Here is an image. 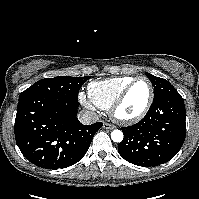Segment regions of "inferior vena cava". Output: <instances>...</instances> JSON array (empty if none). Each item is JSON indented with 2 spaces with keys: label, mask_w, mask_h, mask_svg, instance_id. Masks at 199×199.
Here are the masks:
<instances>
[{
  "label": "inferior vena cava",
  "mask_w": 199,
  "mask_h": 199,
  "mask_svg": "<svg viewBox=\"0 0 199 199\" xmlns=\"http://www.w3.org/2000/svg\"><path fill=\"white\" fill-rule=\"evenodd\" d=\"M99 120L98 115L92 111H81L79 113V121L84 125H90Z\"/></svg>",
  "instance_id": "602c4592"
}]
</instances>
